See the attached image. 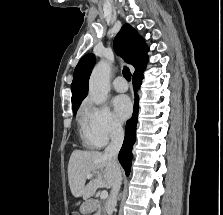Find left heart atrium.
I'll return each mask as SVG.
<instances>
[{"label":"left heart atrium","instance_id":"39dd6f15","mask_svg":"<svg viewBox=\"0 0 223 215\" xmlns=\"http://www.w3.org/2000/svg\"><path fill=\"white\" fill-rule=\"evenodd\" d=\"M113 107L118 119L124 120L131 113V101L126 95H118L113 99Z\"/></svg>","mask_w":223,"mask_h":215}]
</instances>
